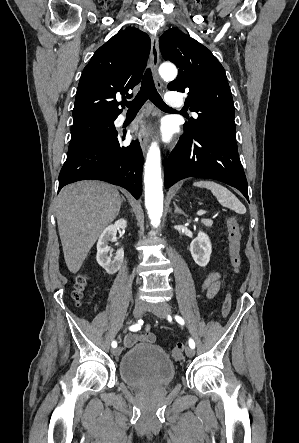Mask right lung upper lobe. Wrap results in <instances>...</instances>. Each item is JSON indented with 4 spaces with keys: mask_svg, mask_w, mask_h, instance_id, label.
Wrapping results in <instances>:
<instances>
[{
    "mask_svg": "<svg viewBox=\"0 0 299 443\" xmlns=\"http://www.w3.org/2000/svg\"><path fill=\"white\" fill-rule=\"evenodd\" d=\"M150 44L146 33L130 27L94 53L81 74L73 109L74 123L94 117H114L122 112L116 98L131 97L128 91L141 80Z\"/></svg>",
    "mask_w": 299,
    "mask_h": 443,
    "instance_id": "1",
    "label": "right lung upper lobe"
}]
</instances>
